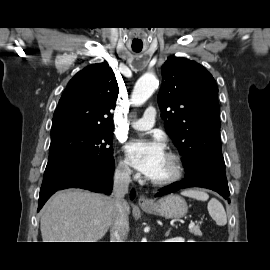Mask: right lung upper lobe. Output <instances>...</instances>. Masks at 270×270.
<instances>
[{
    "label": "right lung upper lobe",
    "mask_w": 270,
    "mask_h": 270,
    "mask_svg": "<svg viewBox=\"0 0 270 270\" xmlns=\"http://www.w3.org/2000/svg\"><path fill=\"white\" fill-rule=\"evenodd\" d=\"M118 84L107 63L92 64L68 83L53 115L52 128L82 125L113 129Z\"/></svg>",
    "instance_id": "right-lung-upper-lobe-1"
}]
</instances>
